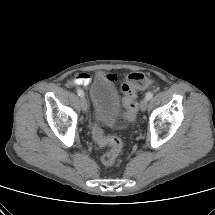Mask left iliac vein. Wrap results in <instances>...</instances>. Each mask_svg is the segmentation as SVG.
Wrapping results in <instances>:
<instances>
[{
    "label": "left iliac vein",
    "instance_id": "4c4485c4",
    "mask_svg": "<svg viewBox=\"0 0 215 215\" xmlns=\"http://www.w3.org/2000/svg\"><path fill=\"white\" fill-rule=\"evenodd\" d=\"M147 106H148V100L146 98H143L140 102L141 111H146Z\"/></svg>",
    "mask_w": 215,
    "mask_h": 215
}]
</instances>
